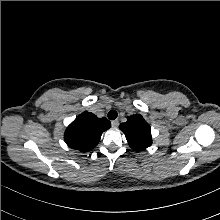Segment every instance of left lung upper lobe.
I'll use <instances>...</instances> for the list:
<instances>
[{
	"label": "left lung upper lobe",
	"instance_id": "5c2ea615",
	"mask_svg": "<svg viewBox=\"0 0 220 220\" xmlns=\"http://www.w3.org/2000/svg\"><path fill=\"white\" fill-rule=\"evenodd\" d=\"M119 128L124 132L132 149L140 151L151 146V128L141 115L128 116L127 121L121 123Z\"/></svg>",
	"mask_w": 220,
	"mask_h": 220
}]
</instances>
